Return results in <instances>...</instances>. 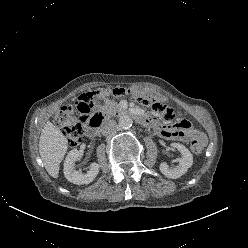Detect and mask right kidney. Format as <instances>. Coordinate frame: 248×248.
Listing matches in <instances>:
<instances>
[{
    "instance_id": "ca27d5eb",
    "label": "right kidney",
    "mask_w": 248,
    "mask_h": 248,
    "mask_svg": "<svg viewBox=\"0 0 248 248\" xmlns=\"http://www.w3.org/2000/svg\"><path fill=\"white\" fill-rule=\"evenodd\" d=\"M80 158V152L77 149L71 150L65 161H64V176L65 178L77 185L89 184L91 183L99 173V165L97 163H92L90 169L86 174L81 171H77L74 168L75 162Z\"/></svg>"
}]
</instances>
